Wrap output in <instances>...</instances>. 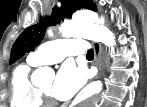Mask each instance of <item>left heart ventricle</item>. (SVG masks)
<instances>
[{
    "instance_id": "1",
    "label": "left heart ventricle",
    "mask_w": 147,
    "mask_h": 107,
    "mask_svg": "<svg viewBox=\"0 0 147 107\" xmlns=\"http://www.w3.org/2000/svg\"><path fill=\"white\" fill-rule=\"evenodd\" d=\"M53 84H54V79H50V80H47L45 82H43L40 87L48 92L50 95L52 94V88H53Z\"/></svg>"
}]
</instances>
